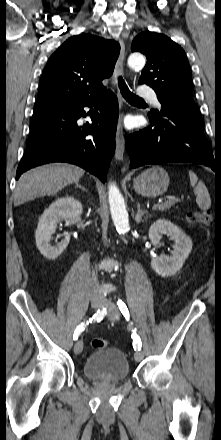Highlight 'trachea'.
Instances as JSON below:
<instances>
[{
	"label": "trachea",
	"instance_id": "1",
	"mask_svg": "<svg viewBox=\"0 0 221 440\" xmlns=\"http://www.w3.org/2000/svg\"><path fill=\"white\" fill-rule=\"evenodd\" d=\"M118 86L121 94L128 102H144L143 99L139 98L129 90L128 86L121 76L118 77Z\"/></svg>",
	"mask_w": 221,
	"mask_h": 440
}]
</instances>
